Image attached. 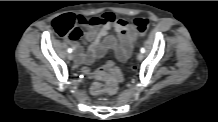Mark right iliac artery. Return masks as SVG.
Returning <instances> with one entry per match:
<instances>
[{"mask_svg":"<svg viewBox=\"0 0 218 122\" xmlns=\"http://www.w3.org/2000/svg\"><path fill=\"white\" fill-rule=\"evenodd\" d=\"M68 52L71 53L72 52V48H68Z\"/></svg>","mask_w":218,"mask_h":122,"instance_id":"right-iliac-artery-1","label":"right iliac artery"}]
</instances>
